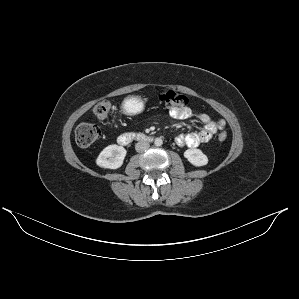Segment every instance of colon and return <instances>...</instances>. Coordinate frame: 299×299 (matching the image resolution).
I'll return each mask as SVG.
<instances>
[{"mask_svg": "<svg viewBox=\"0 0 299 299\" xmlns=\"http://www.w3.org/2000/svg\"><path fill=\"white\" fill-rule=\"evenodd\" d=\"M159 103L162 107L171 109L182 107L187 104V97L173 90L163 91L158 95ZM111 103L107 99L98 101L92 108V114L98 120H105L110 113ZM100 137L99 128L91 123L79 124L75 129V140L78 145L87 147L95 143ZM227 138L226 132H220L218 135L219 141H225Z\"/></svg>", "mask_w": 299, "mask_h": 299, "instance_id": "colon-1", "label": "colon"}]
</instances>
